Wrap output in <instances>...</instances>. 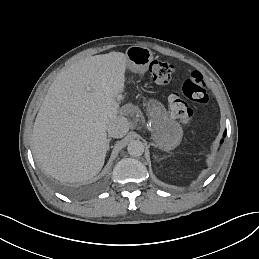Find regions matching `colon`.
Segmentation results:
<instances>
[{
    "label": "colon",
    "instance_id": "colon-1",
    "mask_svg": "<svg viewBox=\"0 0 259 259\" xmlns=\"http://www.w3.org/2000/svg\"><path fill=\"white\" fill-rule=\"evenodd\" d=\"M153 81L160 86L167 85L174 73V65L169 61H154L150 65ZM188 101L205 104L208 102V93L203 76L198 71H193L185 80L182 95L174 93L168 98L170 114L183 125H189L194 117V112Z\"/></svg>",
    "mask_w": 259,
    "mask_h": 259
}]
</instances>
